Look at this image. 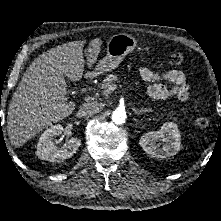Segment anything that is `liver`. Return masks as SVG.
I'll list each match as a JSON object with an SVG mask.
<instances>
[{
	"mask_svg": "<svg viewBox=\"0 0 221 221\" xmlns=\"http://www.w3.org/2000/svg\"><path fill=\"white\" fill-rule=\"evenodd\" d=\"M84 41L59 45L37 57L24 73L8 108L7 132L11 144L21 147L40 131L68 117L75 103L68 102L67 76L79 81L84 72ZM100 38L88 47L87 65L92 67L101 50Z\"/></svg>",
	"mask_w": 221,
	"mask_h": 221,
	"instance_id": "6515ba94",
	"label": "liver"
}]
</instances>
